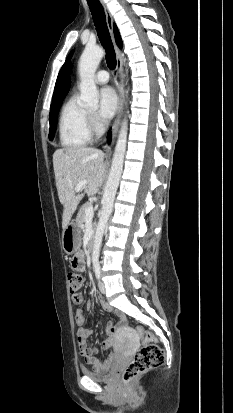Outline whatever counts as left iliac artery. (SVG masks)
Wrapping results in <instances>:
<instances>
[{
	"label": "left iliac artery",
	"instance_id": "left-iliac-artery-1",
	"mask_svg": "<svg viewBox=\"0 0 233 413\" xmlns=\"http://www.w3.org/2000/svg\"><path fill=\"white\" fill-rule=\"evenodd\" d=\"M94 271H95L96 277L99 279L101 270H100V266L98 264L94 265Z\"/></svg>",
	"mask_w": 233,
	"mask_h": 413
}]
</instances>
